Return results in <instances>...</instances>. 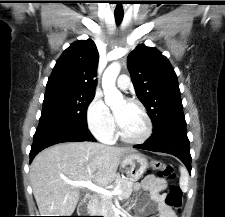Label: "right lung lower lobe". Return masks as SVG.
I'll return each mask as SVG.
<instances>
[{"label": "right lung lower lobe", "instance_id": "right-lung-lower-lobe-1", "mask_svg": "<svg viewBox=\"0 0 225 217\" xmlns=\"http://www.w3.org/2000/svg\"><path fill=\"white\" fill-rule=\"evenodd\" d=\"M96 141L87 126H77L55 120H39L33 137L30 162L41 150L61 142Z\"/></svg>", "mask_w": 225, "mask_h": 217}]
</instances>
